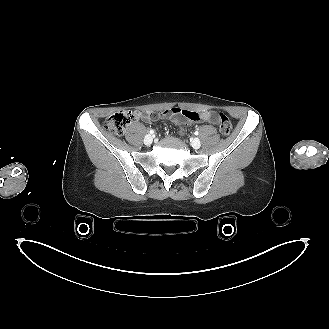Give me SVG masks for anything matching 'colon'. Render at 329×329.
<instances>
[{
  "instance_id": "colon-1",
  "label": "colon",
  "mask_w": 329,
  "mask_h": 329,
  "mask_svg": "<svg viewBox=\"0 0 329 329\" xmlns=\"http://www.w3.org/2000/svg\"><path fill=\"white\" fill-rule=\"evenodd\" d=\"M219 129L222 135L228 136L232 130V124L228 117L223 113L218 114ZM137 115L135 112L124 110L109 115L103 122V129L111 135L120 136L125 129L135 120Z\"/></svg>"
}]
</instances>
